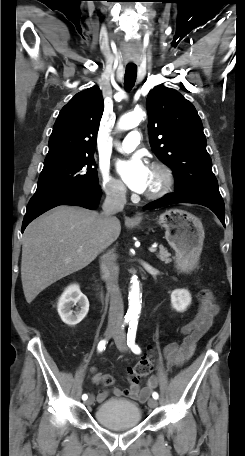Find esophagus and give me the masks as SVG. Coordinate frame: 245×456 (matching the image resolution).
<instances>
[{
	"instance_id": "esophagus-1",
	"label": "esophagus",
	"mask_w": 245,
	"mask_h": 456,
	"mask_svg": "<svg viewBox=\"0 0 245 456\" xmlns=\"http://www.w3.org/2000/svg\"><path fill=\"white\" fill-rule=\"evenodd\" d=\"M134 218H135V219H139L140 217H139V216H137V215H135V216H134Z\"/></svg>"
}]
</instances>
